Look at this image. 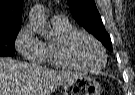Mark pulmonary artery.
Instances as JSON below:
<instances>
[{
    "instance_id": "1",
    "label": "pulmonary artery",
    "mask_w": 135,
    "mask_h": 95,
    "mask_svg": "<svg viewBox=\"0 0 135 95\" xmlns=\"http://www.w3.org/2000/svg\"><path fill=\"white\" fill-rule=\"evenodd\" d=\"M53 20H56V21H63V20H66L64 16L62 15H57L53 18Z\"/></svg>"
}]
</instances>
